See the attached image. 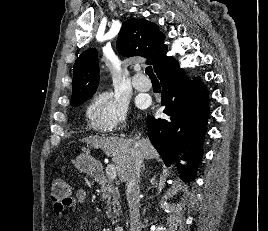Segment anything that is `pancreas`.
Here are the masks:
<instances>
[{
  "instance_id": "1",
  "label": "pancreas",
  "mask_w": 268,
  "mask_h": 231,
  "mask_svg": "<svg viewBox=\"0 0 268 231\" xmlns=\"http://www.w3.org/2000/svg\"><path fill=\"white\" fill-rule=\"evenodd\" d=\"M102 200L107 203V216L111 219L112 223H117V217L120 214V200L119 191L116 187L111 185L110 180H106L101 184L100 191Z\"/></svg>"
}]
</instances>
